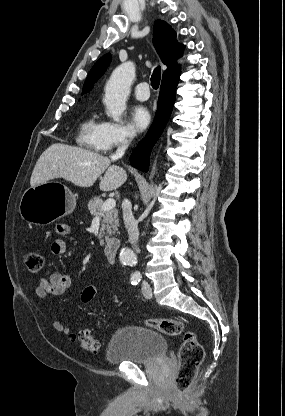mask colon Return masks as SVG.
Wrapping results in <instances>:
<instances>
[{
    "instance_id": "5ec220e1",
    "label": "colon",
    "mask_w": 285,
    "mask_h": 416,
    "mask_svg": "<svg viewBox=\"0 0 285 416\" xmlns=\"http://www.w3.org/2000/svg\"><path fill=\"white\" fill-rule=\"evenodd\" d=\"M24 263L30 274H39L44 267V256L37 251H28L24 255ZM94 286L86 287L81 294L84 304L90 303L95 295ZM145 324L169 336L183 335V341L178 353L179 366L174 378L173 395L179 406L188 402V390L192 385L199 367L204 360V349L194 331L188 330L184 322L175 319H147ZM71 339L81 349L97 353L102 346V339L91 334L89 330H81L71 335Z\"/></svg>"
}]
</instances>
